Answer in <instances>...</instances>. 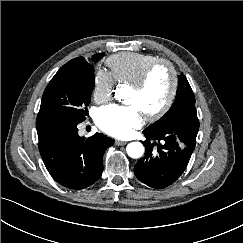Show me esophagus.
<instances>
[{
    "mask_svg": "<svg viewBox=\"0 0 243 243\" xmlns=\"http://www.w3.org/2000/svg\"><path fill=\"white\" fill-rule=\"evenodd\" d=\"M126 143H127L126 141L115 140V145H117V146L125 145Z\"/></svg>",
    "mask_w": 243,
    "mask_h": 243,
    "instance_id": "esophagus-1",
    "label": "esophagus"
}]
</instances>
